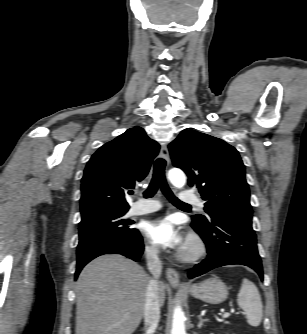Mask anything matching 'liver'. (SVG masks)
<instances>
[{"instance_id": "6515ba94", "label": "liver", "mask_w": 307, "mask_h": 334, "mask_svg": "<svg viewBox=\"0 0 307 334\" xmlns=\"http://www.w3.org/2000/svg\"><path fill=\"white\" fill-rule=\"evenodd\" d=\"M150 277L119 254L97 257L76 282V334H132L139 326ZM166 286L159 282L161 306Z\"/></svg>"}]
</instances>
